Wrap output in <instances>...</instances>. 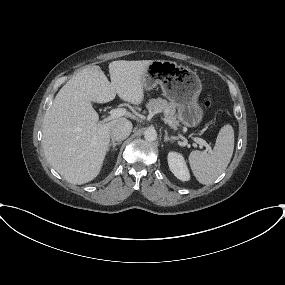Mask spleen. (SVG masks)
<instances>
[{
  "mask_svg": "<svg viewBox=\"0 0 285 285\" xmlns=\"http://www.w3.org/2000/svg\"><path fill=\"white\" fill-rule=\"evenodd\" d=\"M234 150V130L229 124L224 125L216 138L211 153L192 151L189 164L196 179L201 184L213 183L227 168Z\"/></svg>",
  "mask_w": 285,
  "mask_h": 285,
  "instance_id": "1",
  "label": "spleen"
}]
</instances>
